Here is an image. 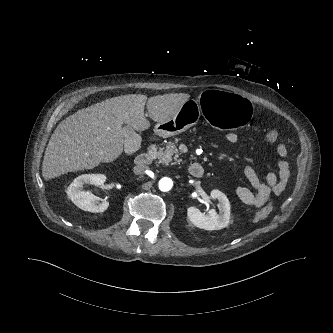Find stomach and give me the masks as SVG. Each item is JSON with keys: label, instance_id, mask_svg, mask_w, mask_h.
<instances>
[{"label": "stomach", "instance_id": "obj_1", "mask_svg": "<svg viewBox=\"0 0 333 333\" xmlns=\"http://www.w3.org/2000/svg\"><path fill=\"white\" fill-rule=\"evenodd\" d=\"M201 114L213 125L222 128H240L251 119L250 102L240 95H229L220 88L206 90L200 97ZM198 117V105L187 100L176 114L159 122L154 133L162 138L171 137L187 130Z\"/></svg>", "mask_w": 333, "mask_h": 333}]
</instances>
